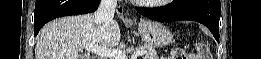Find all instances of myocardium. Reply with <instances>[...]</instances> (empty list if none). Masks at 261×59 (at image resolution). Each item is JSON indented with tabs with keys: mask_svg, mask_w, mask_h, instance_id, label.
I'll list each match as a JSON object with an SVG mask.
<instances>
[{
	"mask_svg": "<svg viewBox=\"0 0 261 59\" xmlns=\"http://www.w3.org/2000/svg\"><path fill=\"white\" fill-rule=\"evenodd\" d=\"M161 2H165V1H161ZM161 2H157V3H161Z\"/></svg>",
	"mask_w": 261,
	"mask_h": 59,
	"instance_id": "f54148a6",
	"label": "myocardium"
}]
</instances>
